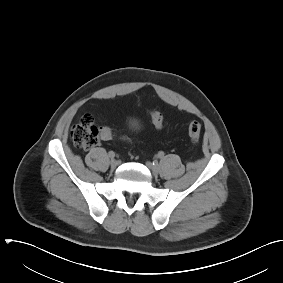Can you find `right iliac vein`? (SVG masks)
<instances>
[{"label": "right iliac vein", "instance_id": "63e3f726", "mask_svg": "<svg viewBox=\"0 0 283 283\" xmlns=\"http://www.w3.org/2000/svg\"><path fill=\"white\" fill-rule=\"evenodd\" d=\"M110 166H111L112 169H115L118 166V161L115 160V159H112L110 161Z\"/></svg>", "mask_w": 283, "mask_h": 283}]
</instances>
